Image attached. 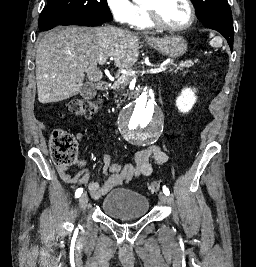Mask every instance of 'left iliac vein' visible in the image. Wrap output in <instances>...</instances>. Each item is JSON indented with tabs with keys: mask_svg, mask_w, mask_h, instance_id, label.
Here are the masks:
<instances>
[{
	"mask_svg": "<svg viewBox=\"0 0 256 267\" xmlns=\"http://www.w3.org/2000/svg\"><path fill=\"white\" fill-rule=\"evenodd\" d=\"M158 198L164 204H168L169 203V199H168L167 195H165L163 192H159Z\"/></svg>",
	"mask_w": 256,
	"mask_h": 267,
	"instance_id": "left-iliac-vein-1",
	"label": "left iliac vein"
}]
</instances>
